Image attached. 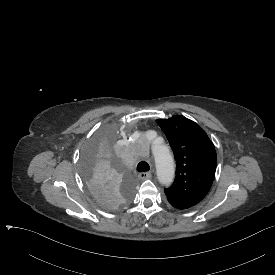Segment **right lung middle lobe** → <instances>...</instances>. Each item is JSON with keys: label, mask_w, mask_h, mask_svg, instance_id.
Listing matches in <instances>:
<instances>
[{"label": "right lung middle lobe", "mask_w": 275, "mask_h": 275, "mask_svg": "<svg viewBox=\"0 0 275 275\" xmlns=\"http://www.w3.org/2000/svg\"><path fill=\"white\" fill-rule=\"evenodd\" d=\"M120 134L111 125H101L89 135L83 150L84 180L96 204L116 211L134 202L132 177L116 168Z\"/></svg>", "instance_id": "right-lung-middle-lobe-1"}]
</instances>
